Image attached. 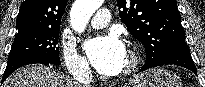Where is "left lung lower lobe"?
<instances>
[{"label":"left lung lower lobe","instance_id":"0a47b994","mask_svg":"<svg viewBox=\"0 0 205 87\" xmlns=\"http://www.w3.org/2000/svg\"><path fill=\"white\" fill-rule=\"evenodd\" d=\"M168 64H174L181 67H185L194 72L195 74H197V70L191 58L190 49L187 44L176 46L157 64V66ZM152 67L156 66L144 65L140 71H144Z\"/></svg>","mask_w":205,"mask_h":87}]
</instances>
